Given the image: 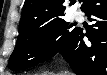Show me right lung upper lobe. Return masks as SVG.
I'll use <instances>...</instances> for the list:
<instances>
[{"label": "right lung upper lobe", "instance_id": "cb5924a9", "mask_svg": "<svg viewBox=\"0 0 107 75\" xmlns=\"http://www.w3.org/2000/svg\"><path fill=\"white\" fill-rule=\"evenodd\" d=\"M64 2V0H25L20 25L39 26L63 18L66 10Z\"/></svg>", "mask_w": 107, "mask_h": 75}]
</instances>
